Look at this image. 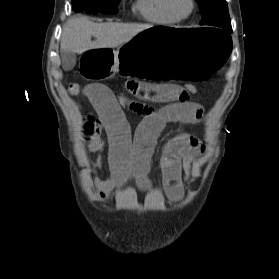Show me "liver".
Wrapping results in <instances>:
<instances>
[{
    "instance_id": "obj_1",
    "label": "liver",
    "mask_w": 279,
    "mask_h": 279,
    "mask_svg": "<svg viewBox=\"0 0 279 279\" xmlns=\"http://www.w3.org/2000/svg\"><path fill=\"white\" fill-rule=\"evenodd\" d=\"M148 24L94 23L86 17L73 18L63 28L60 49L82 54L89 50L119 47L140 32L151 28ZM95 37V41L91 38Z\"/></svg>"
}]
</instances>
